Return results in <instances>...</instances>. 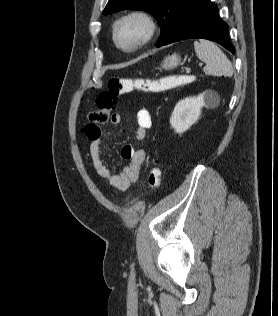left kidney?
<instances>
[{
    "label": "left kidney",
    "instance_id": "left-kidney-1",
    "mask_svg": "<svg viewBox=\"0 0 278 316\" xmlns=\"http://www.w3.org/2000/svg\"><path fill=\"white\" fill-rule=\"evenodd\" d=\"M212 102V92L205 91L197 97H188L177 103L170 117V124L176 133H184L201 115V109Z\"/></svg>",
    "mask_w": 278,
    "mask_h": 316
}]
</instances>
